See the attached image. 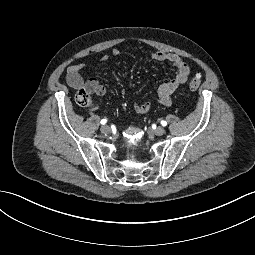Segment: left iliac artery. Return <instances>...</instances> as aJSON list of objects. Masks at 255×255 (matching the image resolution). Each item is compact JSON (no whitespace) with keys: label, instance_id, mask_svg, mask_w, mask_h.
<instances>
[{"label":"left iliac artery","instance_id":"left-iliac-artery-1","mask_svg":"<svg viewBox=\"0 0 255 255\" xmlns=\"http://www.w3.org/2000/svg\"><path fill=\"white\" fill-rule=\"evenodd\" d=\"M161 125H162V126H166V125H167V122H166V121H161Z\"/></svg>","mask_w":255,"mask_h":255}]
</instances>
